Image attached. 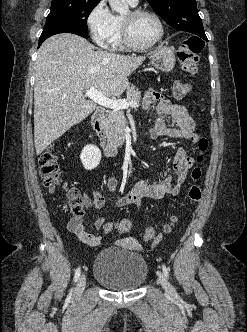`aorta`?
<instances>
[{
  "label": "aorta",
  "instance_id": "762f6f07",
  "mask_svg": "<svg viewBox=\"0 0 247 332\" xmlns=\"http://www.w3.org/2000/svg\"><path fill=\"white\" fill-rule=\"evenodd\" d=\"M113 11L124 15L129 11L128 5L123 0H108Z\"/></svg>",
  "mask_w": 247,
  "mask_h": 332
}]
</instances>
